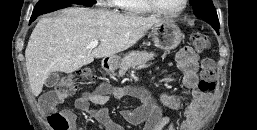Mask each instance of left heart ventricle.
Returning a JSON list of instances; mask_svg holds the SVG:
<instances>
[{
  "label": "left heart ventricle",
  "mask_w": 257,
  "mask_h": 130,
  "mask_svg": "<svg viewBox=\"0 0 257 130\" xmlns=\"http://www.w3.org/2000/svg\"><path fill=\"white\" fill-rule=\"evenodd\" d=\"M156 3L164 10L174 12L180 9L183 0H156Z\"/></svg>",
  "instance_id": "1"
}]
</instances>
